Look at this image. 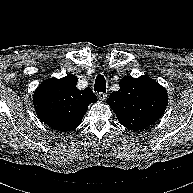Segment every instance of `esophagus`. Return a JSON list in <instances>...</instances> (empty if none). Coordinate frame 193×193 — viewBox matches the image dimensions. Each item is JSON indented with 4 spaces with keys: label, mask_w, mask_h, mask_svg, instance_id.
<instances>
[{
    "label": "esophagus",
    "mask_w": 193,
    "mask_h": 193,
    "mask_svg": "<svg viewBox=\"0 0 193 193\" xmlns=\"http://www.w3.org/2000/svg\"><path fill=\"white\" fill-rule=\"evenodd\" d=\"M97 96H98L99 100H101V101H104L107 98V94L103 93V92H99L97 94Z\"/></svg>",
    "instance_id": "1"
}]
</instances>
